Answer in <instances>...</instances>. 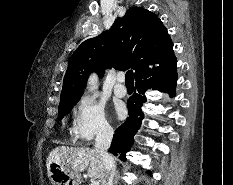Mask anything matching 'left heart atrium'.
<instances>
[{"instance_id": "left-heart-atrium-1", "label": "left heart atrium", "mask_w": 233, "mask_h": 185, "mask_svg": "<svg viewBox=\"0 0 233 185\" xmlns=\"http://www.w3.org/2000/svg\"><path fill=\"white\" fill-rule=\"evenodd\" d=\"M118 112L121 113L122 112V108H118Z\"/></svg>"}]
</instances>
